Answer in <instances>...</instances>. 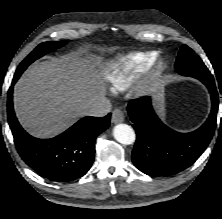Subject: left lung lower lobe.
I'll return each instance as SVG.
<instances>
[{"label": "left lung lower lobe", "mask_w": 222, "mask_h": 219, "mask_svg": "<svg viewBox=\"0 0 222 219\" xmlns=\"http://www.w3.org/2000/svg\"><path fill=\"white\" fill-rule=\"evenodd\" d=\"M208 88L212 110L207 121L190 133L176 132L155 114L150 97L132 100L127 107L136 131L132 162L150 176H169L191 166L207 148L216 127L219 96L214 79H199Z\"/></svg>", "instance_id": "obj_1"}]
</instances>
